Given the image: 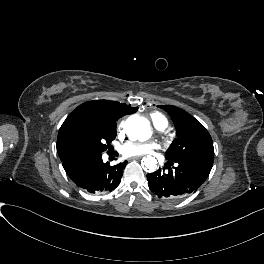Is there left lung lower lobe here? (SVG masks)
Here are the masks:
<instances>
[{"label":"left lung lower lobe","instance_id":"0a47b994","mask_svg":"<svg viewBox=\"0 0 264 264\" xmlns=\"http://www.w3.org/2000/svg\"><path fill=\"white\" fill-rule=\"evenodd\" d=\"M147 180L149 189L159 198L180 197L188 193L176 186L169 184L155 172L147 174Z\"/></svg>","mask_w":264,"mask_h":264}]
</instances>
